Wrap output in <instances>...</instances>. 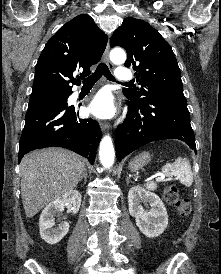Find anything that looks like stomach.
<instances>
[{
  "label": "stomach",
  "mask_w": 221,
  "mask_h": 274,
  "mask_svg": "<svg viewBox=\"0 0 221 274\" xmlns=\"http://www.w3.org/2000/svg\"><path fill=\"white\" fill-rule=\"evenodd\" d=\"M151 160V156L147 152H143L138 155L133 161L130 162L129 168L132 171H137L142 168L144 165L148 164Z\"/></svg>",
  "instance_id": "0dacf381"
}]
</instances>
